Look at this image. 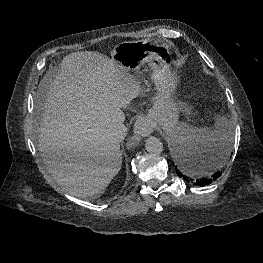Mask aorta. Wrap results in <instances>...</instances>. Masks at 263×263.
Masks as SVG:
<instances>
[{"label":"aorta","instance_id":"obj_1","mask_svg":"<svg viewBox=\"0 0 263 263\" xmlns=\"http://www.w3.org/2000/svg\"><path fill=\"white\" fill-rule=\"evenodd\" d=\"M145 148L150 154L159 155L163 152V143L156 137H149L146 140Z\"/></svg>","mask_w":263,"mask_h":263}]
</instances>
